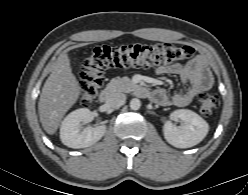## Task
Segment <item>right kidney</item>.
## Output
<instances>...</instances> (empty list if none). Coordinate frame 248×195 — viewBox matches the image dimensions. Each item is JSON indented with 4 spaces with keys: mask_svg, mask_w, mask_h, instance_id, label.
<instances>
[{
    "mask_svg": "<svg viewBox=\"0 0 248 195\" xmlns=\"http://www.w3.org/2000/svg\"><path fill=\"white\" fill-rule=\"evenodd\" d=\"M91 120L92 113L87 108H80L68 114L62 121L60 128L62 143L70 148L79 149L98 142L106 132L105 125L80 130V122H90Z\"/></svg>",
    "mask_w": 248,
    "mask_h": 195,
    "instance_id": "obj_1",
    "label": "right kidney"
}]
</instances>
